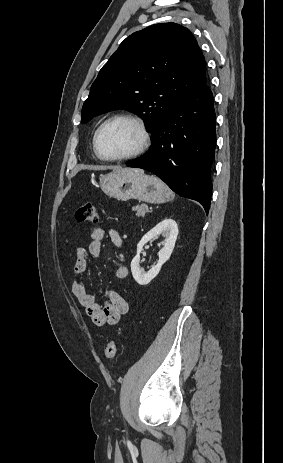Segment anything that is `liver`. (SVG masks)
Here are the masks:
<instances>
[{"label":"liver","instance_id":"obj_1","mask_svg":"<svg viewBox=\"0 0 283 463\" xmlns=\"http://www.w3.org/2000/svg\"><path fill=\"white\" fill-rule=\"evenodd\" d=\"M128 170H130V169H122V168H117V169H115V171H117V172H124V171H128ZM135 170H136L137 172L144 173V171L141 170V169H135Z\"/></svg>","mask_w":283,"mask_h":463}]
</instances>
